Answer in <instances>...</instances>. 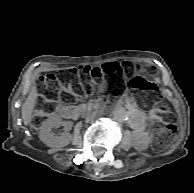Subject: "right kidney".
Here are the masks:
<instances>
[{
	"instance_id": "1",
	"label": "right kidney",
	"mask_w": 194,
	"mask_h": 193,
	"mask_svg": "<svg viewBox=\"0 0 194 193\" xmlns=\"http://www.w3.org/2000/svg\"><path fill=\"white\" fill-rule=\"evenodd\" d=\"M61 125L60 117L56 114H51L42 124L39 131L40 140L51 148L64 147L70 142V134L63 133L61 136H55L53 129Z\"/></svg>"
}]
</instances>
